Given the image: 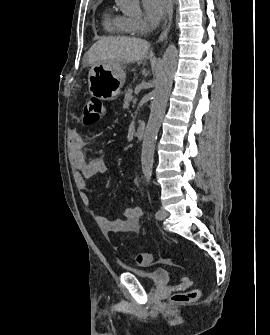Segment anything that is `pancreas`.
I'll return each instance as SVG.
<instances>
[{
	"label": "pancreas",
	"mask_w": 270,
	"mask_h": 335,
	"mask_svg": "<svg viewBox=\"0 0 270 335\" xmlns=\"http://www.w3.org/2000/svg\"><path fill=\"white\" fill-rule=\"evenodd\" d=\"M133 94V90H127L126 94H125V98H124V104H123V108H129V102H132V96Z\"/></svg>",
	"instance_id": "obj_1"
}]
</instances>
